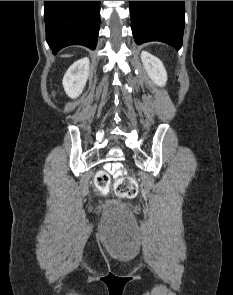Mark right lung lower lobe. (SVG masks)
<instances>
[{"mask_svg":"<svg viewBox=\"0 0 233 295\" xmlns=\"http://www.w3.org/2000/svg\"><path fill=\"white\" fill-rule=\"evenodd\" d=\"M44 18L53 54L74 44L96 47L100 1H44Z\"/></svg>","mask_w":233,"mask_h":295,"instance_id":"98d812e1","label":"right lung lower lobe"}]
</instances>
